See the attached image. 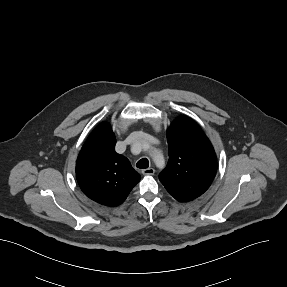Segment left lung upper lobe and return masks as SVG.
<instances>
[{
	"instance_id": "left-lung-upper-lobe-1",
	"label": "left lung upper lobe",
	"mask_w": 287,
	"mask_h": 287,
	"mask_svg": "<svg viewBox=\"0 0 287 287\" xmlns=\"http://www.w3.org/2000/svg\"><path fill=\"white\" fill-rule=\"evenodd\" d=\"M169 161L159 174L166 190L179 202L191 201L211 185L217 158L213 146L198 124L178 117L167 130Z\"/></svg>"
}]
</instances>
